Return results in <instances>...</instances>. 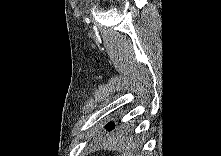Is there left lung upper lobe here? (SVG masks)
I'll use <instances>...</instances> for the list:
<instances>
[{
    "instance_id": "1",
    "label": "left lung upper lobe",
    "mask_w": 221,
    "mask_h": 156,
    "mask_svg": "<svg viewBox=\"0 0 221 156\" xmlns=\"http://www.w3.org/2000/svg\"><path fill=\"white\" fill-rule=\"evenodd\" d=\"M115 128V123L114 122H110L106 125V129L111 131Z\"/></svg>"
}]
</instances>
